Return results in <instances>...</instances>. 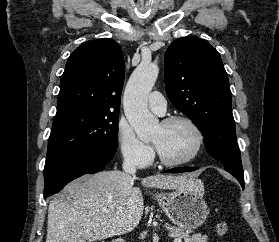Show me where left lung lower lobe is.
Segmentation results:
<instances>
[{
    "label": "left lung lower lobe",
    "mask_w": 279,
    "mask_h": 242,
    "mask_svg": "<svg viewBox=\"0 0 279 242\" xmlns=\"http://www.w3.org/2000/svg\"><path fill=\"white\" fill-rule=\"evenodd\" d=\"M196 170L195 167H179V168H174V169H169L166 170V172L170 173H182V172H190ZM241 184L242 188L244 189V177L232 174Z\"/></svg>",
    "instance_id": "left-lung-lower-lobe-1"
}]
</instances>
